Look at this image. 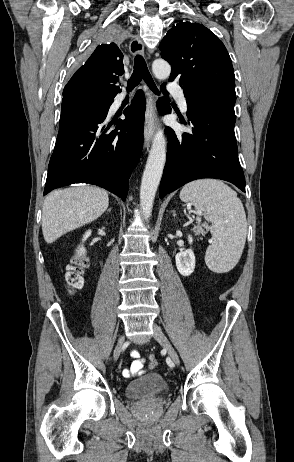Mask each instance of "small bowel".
<instances>
[{"label": "small bowel", "instance_id": "1", "mask_svg": "<svg viewBox=\"0 0 294 462\" xmlns=\"http://www.w3.org/2000/svg\"><path fill=\"white\" fill-rule=\"evenodd\" d=\"M130 355L134 359L133 362L129 367L124 368L122 371V375L126 378L141 375L145 372L144 359L140 357L138 351L133 350Z\"/></svg>", "mask_w": 294, "mask_h": 462}]
</instances>
